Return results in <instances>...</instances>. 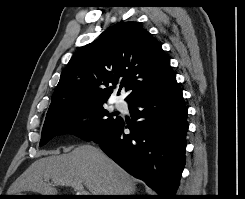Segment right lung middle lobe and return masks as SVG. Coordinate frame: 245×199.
<instances>
[{
    "mask_svg": "<svg viewBox=\"0 0 245 199\" xmlns=\"http://www.w3.org/2000/svg\"><path fill=\"white\" fill-rule=\"evenodd\" d=\"M79 117H90V127ZM119 118L114 113L110 114L105 110L103 103L76 104L65 107L46 117L40 146L62 134H74L83 140L91 141Z\"/></svg>",
    "mask_w": 245,
    "mask_h": 199,
    "instance_id": "dd1d6c3e",
    "label": "right lung middle lobe"
}]
</instances>
